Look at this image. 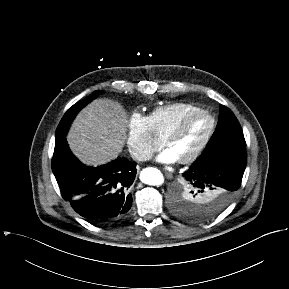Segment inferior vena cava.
Segmentation results:
<instances>
[{
	"label": "inferior vena cava",
	"instance_id": "602c4592",
	"mask_svg": "<svg viewBox=\"0 0 289 289\" xmlns=\"http://www.w3.org/2000/svg\"><path fill=\"white\" fill-rule=\"evenodd\" d=\"M152 153L144 150H136L132 152V158L137 161H147L151 159Z\"/></svg>",
	"mask_w": 289,
	"mask_h": 289
}]
</instances>
